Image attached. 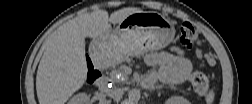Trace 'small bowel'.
I'll list each match as a JSON object with an SVG mask.
<instances>
[{
	"mask_svg": "<svg viewBox=\"0 0 252 104\" xmlns=\"http://www.w3.org/2000/svg\"><path fill=\"white\" fill-rule=\"evenodd\" d=\"M145 61L152 68L142 80L145 87H150L157 80L166 84L183 83L192 71V64L179 46H173L169 51L149 53Z\"/></svg>",
	"mask_w": 252,
	"mask_h": 104,
	"instance_id": "1",
	"label": "small bowel"
}]
</instances>
